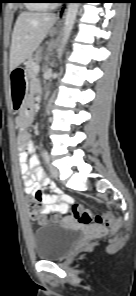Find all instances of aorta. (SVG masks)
<instances>
[{"mask_svg":"<svg viewBox=\"0 0 136 296\" xmlns=\"http://www.w3.org/2000/svg\"><path fill=\"white\" fill-rule=\"evenodd\" d=\"M78 8H79V3H68L66 15H65V22H64V33L61 40V46L58 49L59 57L61 56L63 49L69 39L70 33L75 23Z\"/></svg>","mask_w":136,"mask_h":296,"instance_id":"1","label":"aorta"}]
</instances>
